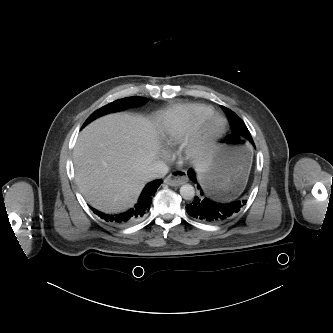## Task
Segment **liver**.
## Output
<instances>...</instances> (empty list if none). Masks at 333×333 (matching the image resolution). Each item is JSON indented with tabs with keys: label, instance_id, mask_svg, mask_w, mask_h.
<instances>
[{
	"label": "liver",
	"instance_id": "liver-1",
	"mask_svg": "<svg viewBox=\"0 0 333 333\" xmlns=\"http://www.w3.org/2000/svg\"><path fill=\"white\" fill-rule=\"evenodd\" d=\"M159 142L152 123L143 116L110 114L81 131L73 151L75 180L85 199L96 209L115 213L131 207L147 180ZM199 158L195 169L204 171Z\"/></svg>",
	"mask_w": 333,
	"mask_h": 333
}]
</instances>
